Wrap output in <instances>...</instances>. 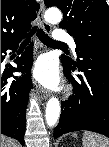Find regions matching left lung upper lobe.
<instances>
[{
  "instance_id": "1",
  "label": "left lung upper lobe",
  "mask_w": 109,
  "mask_h": 147,
  "mask_svg": "<svg viewBox=\"0 0 109 147\" xmlns=\"http://www.w3.org/2000/svg\"><path fill=\"white\" fill-rule=\"evenodd\" d=\"M63 12L61 28L74 37L76 54L81 49H98L109 53V6L105 0H45ZM69 65L75 61L62 56Z\"/></svg>"
}]
</instances>
